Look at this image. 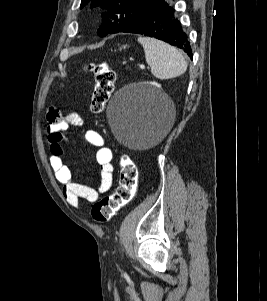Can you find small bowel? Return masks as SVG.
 Listing matches in <instances>:
<instances>
[{"mask_svg":"<svg viewBox=\"0 0 267 301\" xmlns=\"http://www.w3.org/2000/svg\"><path fill=\"white\" fill-rule=\"evenodd\" d=\"M47 121L49 162L56 179L63 186L65 199L75 208L79 206L80 199L91 203L97 201L99 196L110 190L113 184L112 150L105 145L104 138L99 132L85 129V122L78 113L62 115L58 109L51 108L47 113ZM72 127L82 129L85 141L97 148L96 161L100 168V183L96 188L76 181L64 162L62 142L66 137L65 132Z\"/></svg>","mask_w":267,"mask_h":301,"instance_id":"1","label":"small bowel"}]
</instances>
